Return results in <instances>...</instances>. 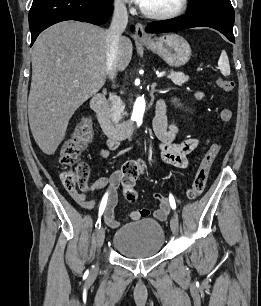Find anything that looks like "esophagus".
I'll return each instance as SVG.
<instances>
[{
    "label": "esophagus",
    "mask_w": 261,
    "mask_h": 306,
    "mask_svg": "<svg viewBox=\"0 0 261 306\" xmlns=\"http://www.w3.org/2000/svg\"><path fill=\"white\" fill-rule=\"evenodd\" d=\"M135 37L140 41L150 40V37L145 32L144 27L141 23L136 24Z\"/></svg>",
    "instance_id": "1"
}]
</instances>
